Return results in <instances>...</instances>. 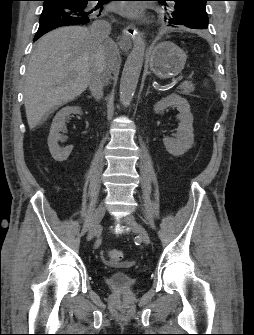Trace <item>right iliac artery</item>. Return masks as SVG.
Here are the masks:
<instances>
[{
	"instance_id": "right-iliac-artery-1",
	"label": "right iliac artery",
	"mask_w": 254,
	"mask_h": 335,
	"mask_svg": "<svg viewBox=\"0 0 254 335\" xmlns=\"http://www.w3.org/2000/svg\"><path fill=\"white\" fill-rule=\"evenodd\" d=\"M100 244H101V239L98 238V239L96 240L95 244H94V247H95V248H98V247L100 246Z\"/></svg>"
}]
</instances>
